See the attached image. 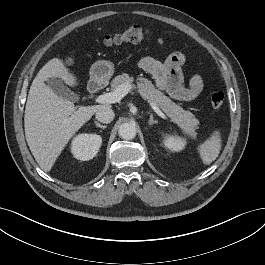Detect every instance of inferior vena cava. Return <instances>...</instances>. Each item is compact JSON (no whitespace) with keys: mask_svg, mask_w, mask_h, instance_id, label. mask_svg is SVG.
I'll list each match as a JSON object with an SVG mask.
<instances>
[{"mask_svg":"<svg viewBox=\"0 0 265 265\" xmlns=\"http://www.w3.org/2000/svg\"><path fill=\"white\" fill-rule=\"evenodd\" d=\"M114 116L115 114L110 107H103L96 112V119L102 123H110Z\"/></svg>","mask_w":265,"mask_h":265,"instance_id":"inferior-vena-cava-1","label":"inferior vena cava"}]
</instances>
